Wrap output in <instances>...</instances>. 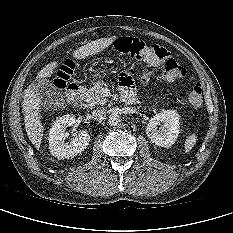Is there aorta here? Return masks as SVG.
Here are the masks:
<instances>
[{
	"mask_svg": "<svg viewBox=\"0 0 233 233\" xmlns=\"http://www.w3.org/2000/svg\"><path fill=\"white\" fill-rule=\"evenodd\" d=\"M120 122H121V117H120L118 114L112 113L111 115H109V117H108V123H109L111 126H116V125H118Z\"/></svg>",
	"mask_w": 233,
	"mask_h": 233,
	"instance_id": "aorta-1",
	"label": "aorta"
}]
</instances>
